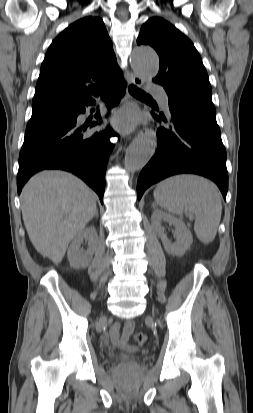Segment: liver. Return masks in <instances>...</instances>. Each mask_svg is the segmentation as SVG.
Returning <instances> with one entry per match:
<instances>
[{"label": "liver", "instance_id": "1", "mask_svg": "<svg viewBox=\"0 0 253 413\" xmlns=\"http://www.w3.org/2000/svg\"><path fill=\"white\" fill-rule=\"evenodd\" d=\"M95 193L63 171L34 175L21 193L24 225L35 249L55 264L96 213Z\"/></svg>", "mask_w": 253, "mask_h": 413}]
</instances>
